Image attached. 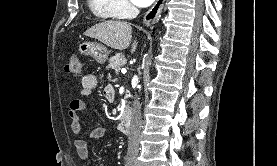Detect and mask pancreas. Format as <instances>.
I'll list each match as a JSON object with an SVG mask.
<instances>
[{
	"label": "pancreas",
	"instance_id": "cf45deb5",
	"mask_svg": "<svg viewBox=\"0 0 277 166\" xmlns=\"http://www.w3.org/2000/svg\"><path fill=\"white\" fill-rule=\"evenodd\" d=\"M126 64V59L124 55L122 54H116L115 56L111 57L109 59V64L107 68L115 70V73L118 74L121 67L125 66ZM128 106H125L124 112L126 113L128 111Z\"/></svg>",
	"mask_w": 277,
	"mask_h": 166
}]
</instances>
